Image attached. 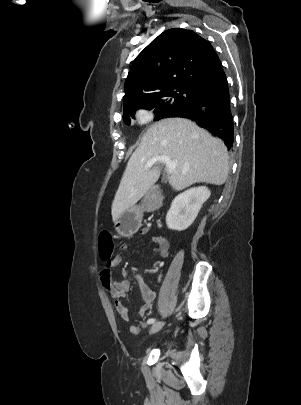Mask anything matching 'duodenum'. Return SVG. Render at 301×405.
Returning a JSON list of instances; mask_svg holds the SVG:
<instances>
[{
  "instance_id": "1",
  "label": "duodenum",
  "mask_w": 301,
  "mask_h": 405,
  "mask_svg": "<svg viewBox=\"0 0 301 405\" xmlns=\"http://www.w3.org/2000/svg\"><path fill=\"white\" fill-rule=\"evenodd\" d=\"M144 199V211L158 213L160 208L166 207V200L163 198L162 190H146Z\"/></svg>"
}]
</instances>
